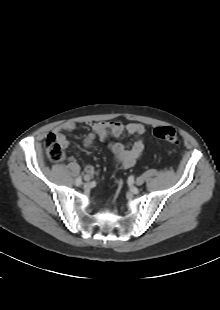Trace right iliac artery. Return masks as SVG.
Segmentation results:
<instances>
[{
	"instance_id": "1",
	"label": "right iliac artery",
	"mask_w": 220,
	"mask_h": 310,
	"mask_svg": "<svg viewBox=\"0 0 220 310\" xmlns=\"http://www.w3.org/2000/svg\"><path fill=\"white\" fill-rule=\"evenodd\" d=\"M81 183H82V178L79 176L76 178L75 184H76V186H79Z\"/></svg>"
}]
</instances>
